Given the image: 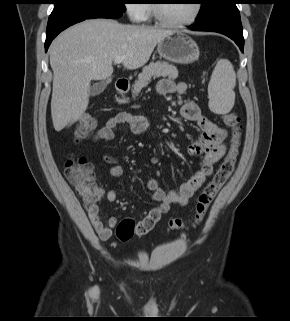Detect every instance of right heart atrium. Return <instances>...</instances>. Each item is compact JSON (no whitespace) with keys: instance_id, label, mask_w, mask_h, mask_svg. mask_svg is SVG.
<instances>
[{"instance_id":"obj_1","label":"right heart atrium","mask_w":290,"mask_h":321,"mask_svg":"<svg viewBox=\"0 0 290 321\" xmlns=\"http://www.w3.org/2000/svg\"><path fill=\"white\" fill-rule=\"evenodd\" d=\"M125 12L133 22H140L144 20L146 16L145 6L142 3H138V0H127L125 3Z\"/></svg>"}]
</instances>
